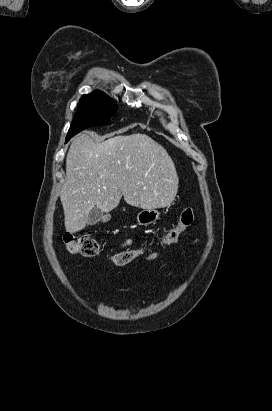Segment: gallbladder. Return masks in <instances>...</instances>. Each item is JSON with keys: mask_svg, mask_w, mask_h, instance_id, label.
I'll return each instance as SVG.
<instances>
[{"mask_svg": "<svg viewBox=\"0 0 272 411\" xmlns=\"http://www.w3.org/2000/svg\"><path fill=\"white\" fill-rule=\"evenodd\" d=\"M104 218V213L103 211L98 208V207H94L88 216V225H95L97 223H99L101 220H103Z\"/></svg>", "mask_w": 272, "mask_h": 411, "instance_id": "gallbladder-1", "label": "gallbladder"}]
</instances>
